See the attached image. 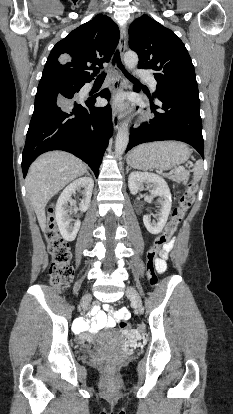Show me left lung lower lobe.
Instances as JSON below:
<instances>
[{"label": "left lung lower lobe", "instance_id": "0a47b994", "mask_svg": "<svg viewBox=\"0 0 233 414\" xmlns=\"http://www.w3.org/2000/svg\"><path fill=\"white\" fill-rule=\"evenodd\" d=\"M133 90L139 92L140 88L134 86ZM155 95L163 104L155 105L150 99V108L155 116L140 127L131 129L126 152L141 143L178 140L193 146L204 158L198 89L162 90Z\"/></svg>", "mask_w": 233, "mask_h": 414}]
</instances>
